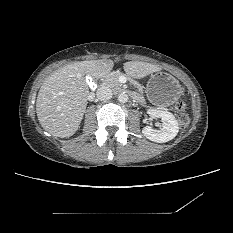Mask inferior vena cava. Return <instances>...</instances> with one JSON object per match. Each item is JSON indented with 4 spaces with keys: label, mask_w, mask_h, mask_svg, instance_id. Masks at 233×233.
<instances>
[{
    "label": "inferior vena cava",
    "mask_w": 233,
    "mask_h": 233,
    "mask_svg": "<svg viewBox=\"0 0 233 233\" xmlns=\"http://www.w3.org/2000/svg\"><path fill=\"white\" fill-rule=\"evenodd\" d=\"M112 90L108 86H101L97 89L96 96L101 101H106L112 98Z\"/></svg>",
    "instance_id": "inferior-vena-cava-1"
}]
</instances>
